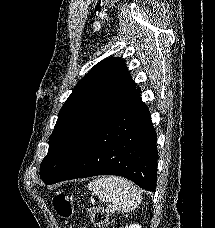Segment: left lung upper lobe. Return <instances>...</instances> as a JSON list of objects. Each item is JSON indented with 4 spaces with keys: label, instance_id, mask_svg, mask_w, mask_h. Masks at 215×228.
Listing matches in <instances>:
<instances>
[{
    "label": "left lung upper lobe",
    "instance_id": "5c2ea615",
    "mask_svg": "<svg viewBox=\"0 0 215 228\" xmlns=\"http://www.w3.org/2000/svg\"><path fill=\"white\" fill-rule=\"evenodd\" d=\"M136 85L121 58L109 57L82 78L62 106L40 166L44 182L56 178L95 132L133 95Z\"/></svg>",
    "mask_w": 215,
    "mask_h": 228
}]
</instances>
